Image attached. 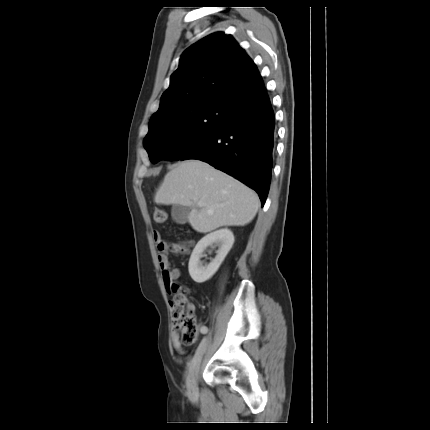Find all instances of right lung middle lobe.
<instances>
[{
  "instance_id": "1",
  "label": "right lung middle lobe",
  "mask_w": 430,
  "mask_h": 430,
  "mask_svg": "<svg viewBox=\"0 0 430 430\" xmlns=\"http://www.w3.org/2000/svg\"><path fill=\"white\" fill-rule=\"evenodd\" d=\"M227 111L218 103H207L149 125L143 145L152 163L180 160L224 126Z\"/></svg>"
}]
</instances>
